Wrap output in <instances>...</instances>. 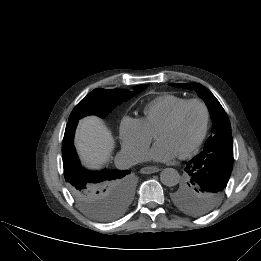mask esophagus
Masks as SVG:
<instances>
[{
  "label": "esophagus",
  "instance_id": "esophagus-1",
  "mask_svg": "<svg viewBox=\"0 0 261 261\" xmlns=\"http://www.w3.org/2000/svg\"><path fill=\"white\" fill-rule=\"evenodd\" d=\"M160 168L155 167V166H148V167H144L140 170V172L142 174H151V173H156L159 172Z\"/></svg>",
  "mask_w": 261,
  "mask_h": 261
}]
</instances>
